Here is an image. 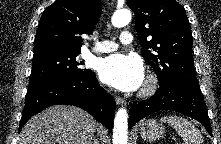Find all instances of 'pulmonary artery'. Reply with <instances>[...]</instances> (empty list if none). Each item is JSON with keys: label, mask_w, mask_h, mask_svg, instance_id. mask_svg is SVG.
I'll return each mask as SVG.
<instances>
[{"label": "pulmonary artery", "mask_w": 221, "mask_h": 144, "mask_svg": "<svg viewBox=\"0 0 221 144\" xmlns=\"http://www.w3.org/2000/svg\"><path fill=\"white\" fill-rule=\"evenodd\" d=\"M133 40L132 34L129 31H123L120 35V42L124 45L130 44ZM118 44L114 41H100L95 44L92 51L96 53H109L115 51Z\"/></svg>", "instance_id": "e3ab8cb5"}]
</instances>
